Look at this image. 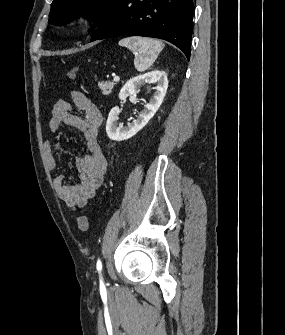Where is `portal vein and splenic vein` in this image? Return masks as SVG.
<instances>
[{
	"label": "portal vein and splenic vein",
	"mask_w": 285,
	"mask_h": 335,
	"mask_svg": "<svg viewBox=\"0 0 285 335\" xmlns=\"http://www.w3.org/2000/svg\"><path fill=\"white\" fill-rule=\"evenodd\" d=\"M120 78L119 76H114V82H119Z\"/></svg>",
	"instance_id": "18ae733b"
}]
</instances>
